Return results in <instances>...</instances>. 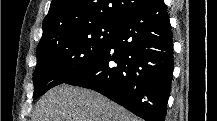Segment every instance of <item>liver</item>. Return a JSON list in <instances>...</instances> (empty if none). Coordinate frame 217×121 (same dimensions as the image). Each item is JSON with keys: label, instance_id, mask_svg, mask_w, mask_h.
<instances>
[{"label": "liver", "instance_id": "6515ba94", "mask_svg": "<svg viewBox=\"0 0 217 121\" xmlns=\"http://www.w3.org/2000/svg\"><path fill=\"white\" fill-rule=\"evenodd\" d=\"M32 121H138L122 106L81 87L60 85L36 103Z\"/></svg>", "mask_w": 217, "mask_h": 121}]
</instances>
